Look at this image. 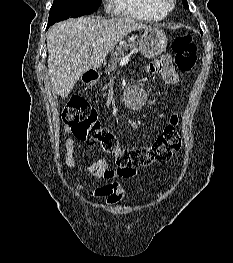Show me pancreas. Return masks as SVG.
I'll use <instances>...</instances> for the list:
<instances>
[{"mask_svg":"<svg viewBox=\"0 0 233 263\" xmlns=\"http://www.w3.org/2000/svg\"><path fill=\"white\" fill-rule=\"evenodd\" d=\"M137 45L138 43L135 40H132L124 43L121 46H118L117 50L113 51L111 54V61L108 65V70H114L116 68L117 63L120 60V56L124 54L125 50H127L128 48H135Z\"/></svg>","mask_w":233,"mask_h":263,"instance_id":"pancreas-1","label":"pancreas"}]
</instances>
